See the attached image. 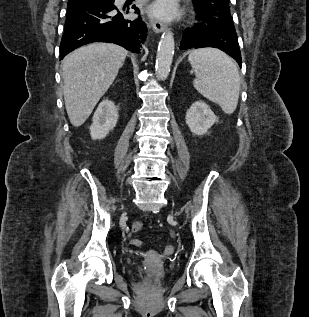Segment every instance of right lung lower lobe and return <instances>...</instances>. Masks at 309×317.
<instances>
[{
    "mask_svg": "<svg viewBox=\"0 0 309 317\" xmlns=\"http://www.w3.org/2000/svg\"><path fill=\"white\" fill-rule=\"evenodd\" d=\"M137 13L138 8L132 6ZM129 8H117L114 2L69 0L65 31L60 44V60L74 49L92 42L115 43L138 52L147 28L139 16L128 19Z\"/></svg>",
    "mask_w": 309,
    "mask_h": 317,
    "instance_id": "1",
    "label": "right lung lower lobe"
}]
</instances>
